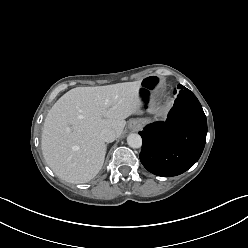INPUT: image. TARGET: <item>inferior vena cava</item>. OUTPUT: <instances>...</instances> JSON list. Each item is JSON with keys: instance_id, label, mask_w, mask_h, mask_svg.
I'll return each instance as SVG.
<instances>
[{"instance_id": "obj_1", "label": "inferior vena cava", "mask_w": 248, "mask_h": 248, "mask_svg": "<svg viewBox=\"0 0 248 248\" xmlns=\"http://www.w3.org/2000/svg\"><path fill=\"white\" fill-rule=\"evenodd\" d=\"M100 138L107 143L113 142L117 138V134L114 130L106 128L100 133Z\"/></svg>"}]
</instances>
